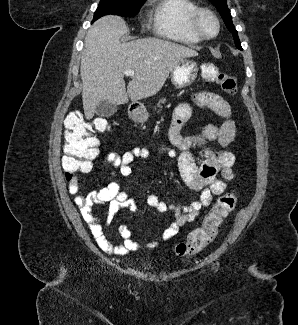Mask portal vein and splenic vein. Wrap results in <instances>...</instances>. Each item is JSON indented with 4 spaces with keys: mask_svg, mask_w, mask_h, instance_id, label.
Instances as JSON below:
<instances>
[{
    "mask_svg": "<svg viewBox=\"0 0 298 325\" xmlns=\"http://www.w3.org/2000/svg\"><path fill=\"white\" fill-rule=\"evenodd\" d=\"M124 74H126V76H134L135 70H132V68H128V70H124Z\"/></svg>",
    "mask_w": 298,
    "mask_h": 325,
    "instance_id": "portal-vein-and-splenic-vein-1",
    "label": "portal vein and splenic vein"
}]
</instances>
